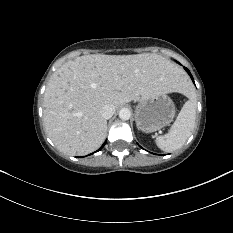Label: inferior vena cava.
Wrapping results in <instances>:
<instances>
[{"label":"inferior vena cava","mask_w":233,"mask_h":233,"mask_svg":"<svg viewBox=\"0 0 233 233\" xmlns=\"http://www.w3.org/2000/svg\"><path fill=\"white\" fill-rule=\"evenodd\" d=\"M114 113L115 106L112 104H106L100 110V114L104 119H110Z\"/></svg>","instance_id":"inferior-vena-cava-1"}]
</instances>
